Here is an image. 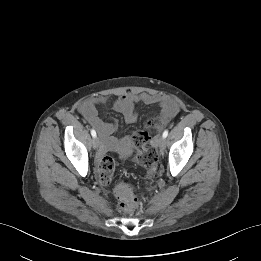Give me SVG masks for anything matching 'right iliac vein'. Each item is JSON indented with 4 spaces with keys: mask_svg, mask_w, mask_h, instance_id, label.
<instances>
[{
    "mask_svg": "<svg viewBox=\"0 0 261 261\" xmlns=\"http://www.w3.org/2000/svg\"><path fill=\"white\" fill-rule=\"evenodd\" d=\"M92 145H93V148L94 149H97L100 145V141H99V138L98 137H94L92 139Z\"/></svg>",
    "mask_w": 261,
    "mask_h": 261,
    "instance_id": "1",
    "label": "right iliac vein"
}]
</instances>
